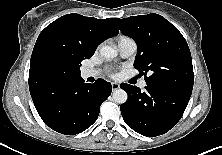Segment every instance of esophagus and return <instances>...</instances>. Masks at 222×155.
<instances>
[{"label":"esophagus","instance_id":"obj_1","mask_svg":"<svg viewBox=\"0 0 222 155\" xmlns=\"http://www.w3.org/2000/svg\"><path fill=\"white\" fill-rule=\"evenodd\" d=\"M111 86H112V90H113V91H115V90H117V89L120 88V85H119L118 83H116V82H113V83L111 84Z\"/></svg>","mask_w":222,"mask_h":155}]
</instances>
